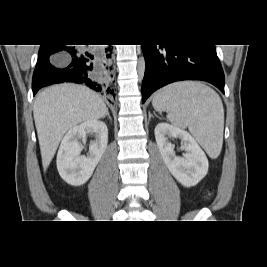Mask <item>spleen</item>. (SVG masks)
<instances>
[{"instance_id": "obj_1", "label": "spleen", "mask_w": 267, "mask_h": 267, "mask_svg": "<svg viewBox=\"0 0 267 267\" xmlns=\"http://www.w3.org/2000/svg\"><path fill=\"white\" fill-rule=\"evenodd\" d=\"M156 111H167V119L176 127L188 128L213 159L222 150L224 109L220 96L197 81L170 84L153 97Z\"/></svg>"}]
</instances>
